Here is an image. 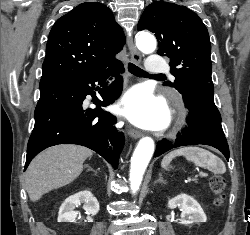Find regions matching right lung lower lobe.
Listing matches in <instances>:
<instances>
[{
    "instance_id": "1",
    "label": "right lung lower lobe",
    "mask_w": 250,
    "mask_h": 235,
    "mask_svg": "<svg viewBox=\"0 0 250 235\" xmlns=\"http://www.w3.org/2000/svg\"><path fill=\"white\" fill-rule=\"evenodd\" d=\"M123 72L121 62H111L68 80L40 85V99L27 146L25 170L39 152L58 144L86 146L116 169L124 136L115 128V116L103 111L100 106H108L119 97L122 90L119 73ZM111 75L115 76V81L106 87ZM95 82L103 88L95 87ZM94 90H99L102 100L94 102L96 109H87L83 101L86 95L95 96Z\"/></svg>"
}]
</instances>
